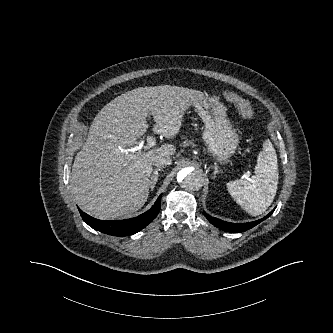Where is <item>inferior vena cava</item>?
<instances>
[{"label": "inferior vena cava", "mask_w": 333, "mask_h": 333, "mask_svg": "<svg viewBox=\"0 0 333 333\" xmlns=\"http://www.w3.org/2000/svg\"><path fill=\"white\" fill-rule=\"evenodd\" d=\"M153 165L157 166V167H161V166H167L170 165L172 162V159L170 156H155L153 158Z\"/></svg>", "instance_id": "obj_1"}]
</instances>
